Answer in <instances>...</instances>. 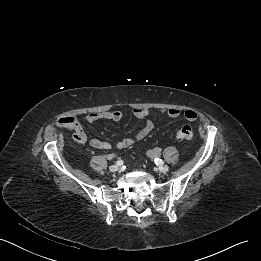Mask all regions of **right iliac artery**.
<instances>
[{
    "label": "right iliac artery",
    "instance_id": "right-iliac-artery-1",
    "mask_svg": "<svg viewBox=\"0 0 261 261\" xmlns=\"http://www.w3.org/2000/svg\"><path fill=\"white\" fill-rule=\"evenodd\" d=\"M122 164H123V161L121 159L116 161V165H122Z\"/></svg>",
    "mask_w": 261,
    "mask_h": 261
}]
</instances>
